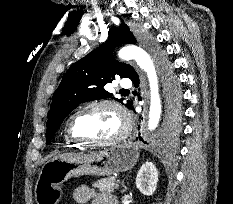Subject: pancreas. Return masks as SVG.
Wrapping results in <instances>:
<instances>
[{"label": "pancreas", "instance_id": "pancreas-1", "mask_svg": "<svg viewBox=\"0 0 233 204\" xmlns=\"http://www.w3.org/2000/svg\"><path fill=\"white\" fill-rule=\"evenodd\" d=\"M92 186L98 188L102 193H112L119 188V181L111 176L94 182Z\"/></svg>", "mask_w": 233, "mask_h": 204}]
</instances>
